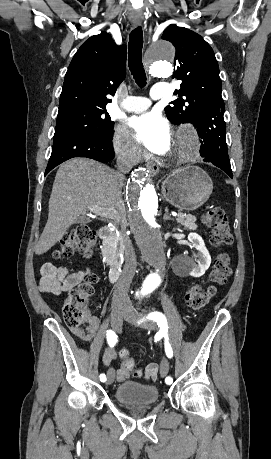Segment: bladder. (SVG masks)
<instances>
[{
	"mask_svg": "<svg viewBox=\"0 0 271 459\" xmlns=\"http://www.w3.org/2000/svg\"><path fill=\"white\" fill-rule=\"evenodd\" d=\"M159 390L154 385L122 382L114 390V401L123 405H152L158 402Z\"/></svg>",
	"mask_w": 271,
	"mask_h": 459,
	"instance_id": "bladder-1",
	"label": "bladder"
}]
</instances>
